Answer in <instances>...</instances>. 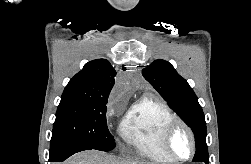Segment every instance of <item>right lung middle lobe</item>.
I'll return each instance as SVG.
<instances>
[{"instance_id": "obj_1", "label": "right lung middle lobe", "mask_w": 251, "mask_h": 164, "mask_svg": "<svg viewBox=\"0 0 251 164\" xmlns=\"http://www.w3.org/2000/svg\"><path fill=\"white\" fill-rule=\"evenodd\" d=\"M107 100L62 97L53 124L50 151L65 145L110 151L114 140L106 123Z\"/></svg>"}]
</instances>
